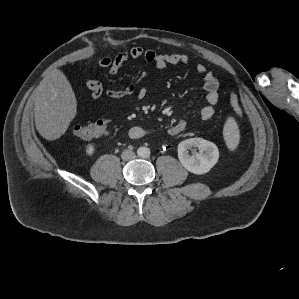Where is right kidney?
Masks as SVG:
<instances>
[{
  "label": "right kidney",
  "mask_w": 299,
  "mask_h": 299,
  "mask_svg": "<svg viewBox=\"0 0 299 299\" xmlns=\"http://www.w3.org/2000/svg\"><path fill=\"white\" fill-rule=\"evenodd\" d=\"M85 151L88 156H92L95 152V146L93 144H88Z\"/></svg>",
  "instance_id": "1"
}]
</instances>
